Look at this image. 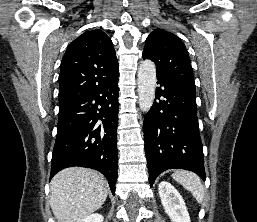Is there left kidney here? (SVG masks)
Returning a JSON list of instances; mask_svg holds the SVG:
<instances>
[{
    "instance_id": "1",
    "label": "left kidney",
    "mask_w": 257,
    "mask_h": 222,
    "mask_svg": "<svg viewBox=\"0 0 257 222\" xmlns=\"http://www.w3.org/2000/svg\"><path fill=\"white\" fill-rule=\"evenodd\" d=\"M161 203L172 222H191L180 193L167 181L158 185Z\"/></svg>"
}]
</instances>
